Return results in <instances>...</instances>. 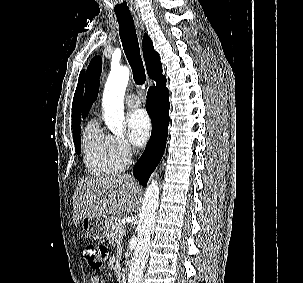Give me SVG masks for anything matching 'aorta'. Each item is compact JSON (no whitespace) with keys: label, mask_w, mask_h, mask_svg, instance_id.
<instances>
[{"label":"aorta","mask_w":303,"mask_h":283,"mask_svg":"<svg viewBox=\"0 0 303 283\" xmlns=\"http://www.w3.org/2000/svg\"><path fill=\"white\" fill-rule=\"evenodd\" d=\"M129 76L130 71L125 66L112 68L103 92L104 121L115 135L124 133V95ZM159 194L158 182L152 180L146 188L142 203L137 226V245L129 268L128 283H143L144 267L149 256L159 206Z\"/></svg>","instance_id":"762f6f07"}]
</instances>
